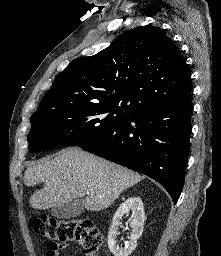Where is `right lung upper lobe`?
<instances>
[{"label": "right lung upper lobe", "mask_w": 221, "mask_h": 256, "mask_svg": "<svg viewBox=\"0 0 221 256\" xmlns=\"http://www.w3.org/2000/svg\"><path fill=\"white\" fill-rule=\"evenodd\" d=\"M187 65L155 26L126 31L101 52L73 60L55 78L33 114L79 104H113L137 113L191 96ZM32 115V116H33Z\"/></svg>", "instance_id": "cb5924a9"}]
</instances>
